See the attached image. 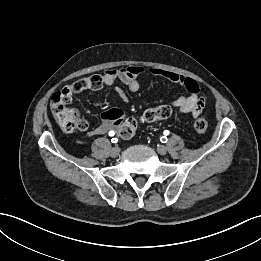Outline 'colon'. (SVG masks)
Wrapping results in <instances>:
<instances>
[{
    "label": "colon",
    "mask_w": 261,
    "mask_h": 261,
    "mask_svg": "<svg viewBox=\"0 0 261 261\" xmlns=\"http://www.w3.org/2000/svg\"><path fill=\"white\" fill-rule=\"evenodd\" d=\"M87 86L86 79H80L61 91L53 94L50 102L52 114L59 126L66 132L83 131L88 127L86 120L81 118L78 110L70 106L71 97ZM171 115V109L167 105H160L144 111L140 117H125L122 112L112 110L107 117L119 125V133L123 138H131L135 135L139 123H151L167 119ZM194 129L203 133L208 128L204 118H197L194 121Z\"/></svg>",
    "instance_id": "obj_1"
}]
</instances>
